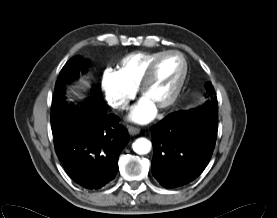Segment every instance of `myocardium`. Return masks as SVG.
I'll list each match as a JSON object with an SVG mask.
<instances>
[{
  "mask_svg": "<svg viewBox=\"0 0 277 218\" xmlns=\"http://www.w3.org/2000/svg\"><path fill=\"white\" fill-rule=\"evenodd\" d=\"M169 55H176L178 56L183 64V71L181 74V77L174 89V91L172 92L171 96L169 97V99L167 101H165L164 103H162L161 105L158 106L159 109H166L170 106H172L177 99L179 98L181 91L183 89V86L185 84L187 75H188V62L186 57L179 51L176 50H167V51H163L160 54H158L148 65L140 83H139V91L141 93V95H144V92L147 88V86L149 85V83L152 81L154 75H155V71H156V67L158 65V63L166 56Z\"/></svg>",
  "mask_w": 277,
  "mask_h": 218,
  "instance_id": "f54148a6",
  "label": "myocardium"
}]
</instances>
